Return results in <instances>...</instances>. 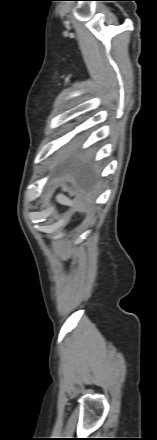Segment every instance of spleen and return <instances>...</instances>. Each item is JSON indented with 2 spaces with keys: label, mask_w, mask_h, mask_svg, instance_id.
Returning a JSON list of instances; mask_svg holds the SVG:
<instances>
[{
  "label": "spleen",
  "mask_w": 157,
  "mask_h": 440,
  "mask_svg": "<svg viewBox=\"0 0 157 440\" xmlns=\"http://www.w3.org/2000/svg\"><path fill=\"white\" fill-rule=\"evenodd\" d=\"M58 203L62 204V205H66V206H73L74 202L72 200H70L69 198H67L65 195L59 194L56 197Z\"/></svg>",
  "instance_id": "1"
}]
</instances>
